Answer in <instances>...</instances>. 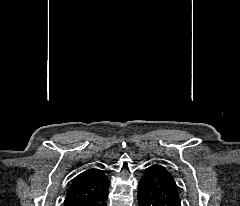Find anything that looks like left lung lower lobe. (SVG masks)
<instances>
[{
  "label": "left lung lower lobe",
  "mask_w": 240,
  "mask_h": 206,
  "mask_svg": "<svg viewBox=\"0 0 240 206\" xmlns=\"http://www.w3.org/2000/svg\"><path fill=\"white\" fill-rule=\"evenodd\" d=\"M138 201L139 206H181L176 182L164 166L147 168L138 185Z\"/></svg>",
  "instance_id": "obj_1"
}]
</instances>
